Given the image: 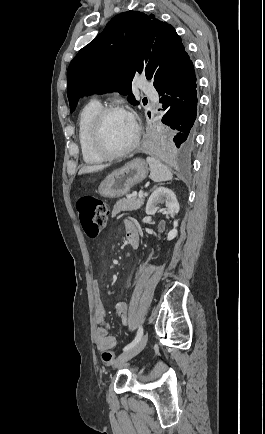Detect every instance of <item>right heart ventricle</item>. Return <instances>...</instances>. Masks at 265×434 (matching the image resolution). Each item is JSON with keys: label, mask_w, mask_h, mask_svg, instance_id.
<instances>
[{"label": "right heart ventricle", "mask_w": 265, "mask_h": 434, "mask_svg": "<svg viewBox=\"0 0 265 434\" xmlns=\"http://www.w3.org/2000/svg\"><path fill=\"white\" fill-rule=\"evenodd\" d=\"M101 109V103L92 100L87 102L78 114L77 141L82 161L86 165H99L105 161L93 141L94 122Z\"/></svg>", "instance_id": "1"}]
</instances>
